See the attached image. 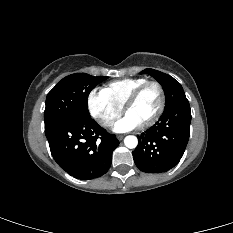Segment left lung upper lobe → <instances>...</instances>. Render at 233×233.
I'll return each instance as SVG.
<instances>
[{"label": "left lung upper lobe", "mask_w": 233, "mask_h": 233, "mask_svg": "<svg viewBox=\"0 0 233 233\" xmlns=\"http://www.w3.org/2000/svg\"><path fill=\"white\" fill-rule=\"evenodd\" d=\"M147 73L153 76L163 87L165 92V109L182 98H186L180 83L173 77L154 69H145L140 74Z\"/></svg>", "instance_id": "obj_1"}]
</instances>
